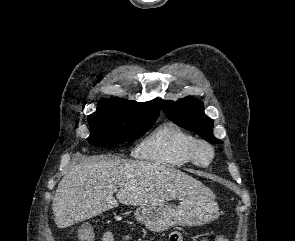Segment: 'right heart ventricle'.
Listing matches in <instances>:
<instances>
[{
    "mask_svg": "<svg viewBox=\"0 0 295 241\" xmlns=\"http://www.w3.org/2000/svg\"><path fill=\"white\" fill-rule=\"evenodd\" d=\"M196 138L180 127L166 123L157 127L136 149V155L146 161L169 167L192 164L191 149Z\"/></svg>",
    "mask_w": 295,
    "mask_h": 241,
    "instance_id": "obj_1",
    "label": "right heart ventricle"
}]
</instances>
